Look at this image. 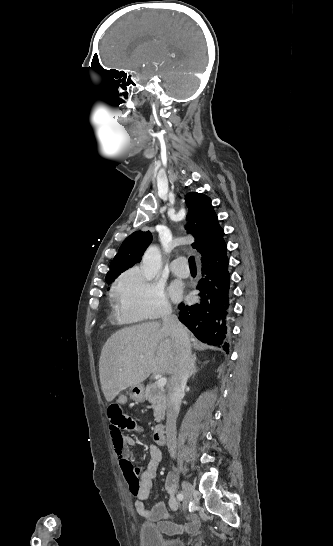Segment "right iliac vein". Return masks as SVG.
Wrapping results in <instances>:
<instances>
[{"label":"right iliac vein","instance_id":"right-iliac-vein-1","mask_svg":"<svg viewBox=\"0 0 333 546\" xmlns=\"http://www.w3.org/2000/svg\"><path fill=\"white\" fill-rule=\"evenodd\" d=\"M183 494H184V508L186 509L194 494V487L187 481L182 482Z\"/></svg>","mask_w":333,"mask_h":546}]
</instances>
